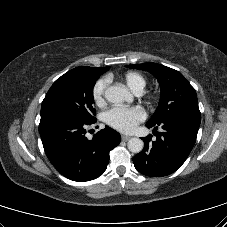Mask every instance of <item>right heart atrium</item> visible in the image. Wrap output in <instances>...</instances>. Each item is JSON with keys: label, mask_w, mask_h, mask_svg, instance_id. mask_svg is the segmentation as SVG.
Segmentation results:
<instances>
[{"label": "right heart atrium", "mask_w": 227, "mask_h": 227, "mask_svg": "<svg viewBox=\"0 0 227 227\" xmlns=\"http://www.w3.org/2000/svg\"><path fill=\"white\" fill-rule=\"evenodd\" d=\"M108 83V78H101L93 86L92 98L97 105H102L104 103L105 91Z\"/></svg>", "instance_id": "right-heart-atrium-1"}]
</instances>
